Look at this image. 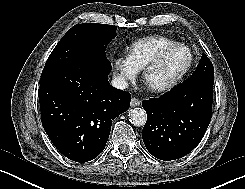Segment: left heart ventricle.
Wrapping results in <instances>:
<instances>
[{
	"mask_svg": "<svg viewBox=\"0 0 245 189\" xmlns=\"http://www.w3.org/2000/svg\"><path fill=\"white\" fill-rule=\"evenodd\" d=\"M189 52L185 48H176L169 52L161 63L153 69L146 80L148 86H162L174 80L187 66Z\"/></svg>",
	"mask_w": 245,
	"mask_h": 189,
	"instance_id": "b2bd125f",
	"label": "left heart ventricle"
}]
</instances>
